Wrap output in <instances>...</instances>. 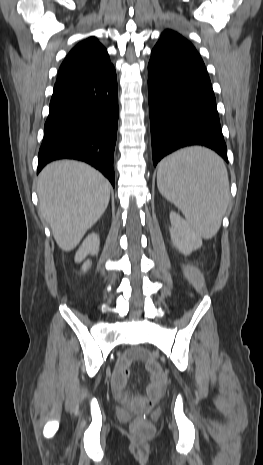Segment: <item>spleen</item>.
<instances>
[{"mask_svg":"<svg viewBox=\"0 0 263 465\" xmlns=\"http://www.w3.org/2000/svg\"><path fill=\"white\" fill-rule=\"evenodd\" d=\"M157 186L200 237L210 239L218 232L230 193L227 169L217 154L191 147L165 157Z\"/></svg>","mask_w":263,"mask_h":465,"instance_id":"1","label":"spleen"}]
</instances>
